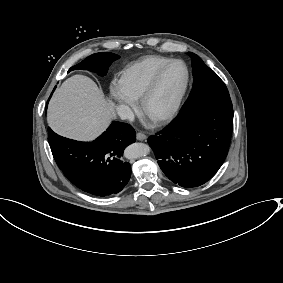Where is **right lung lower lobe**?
I'll use <instances>...</instances> for the list:
<instances>
[{"instance_id":"obj_1","label":"right lung lower lobe","mask_w":283,"mask_h":283,"mask_svg":"<svg viewBox=\"0 0 283 283\" xmlns=\"http://www.w3.org/2000/svg\"><path fill=\"white\" fill-rule=\"evenodd\" d=\"M48 141L60 170L87 193L109 196L120 192L130 179L131 166L122 161L124 149L136 141V133L129 124L114 121L89 143L64 138L48 128Z\"/></svg>"}]
</instances>
